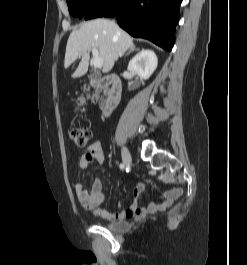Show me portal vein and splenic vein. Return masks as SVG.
<instances>
[{"mask_svg": "<svg viewBox=\"0 0 247 265\" xmlns=\"http://www.w3.org/2000/svg\"><path fill=\"white\" fill-rule=\"evenodd\" d=\"M92 55H93V66L95 68H101L103 66V61L102 59L99 57V52L98 49L96 48H92Z\"/></svg>", "mask_w": 247, "mask_h": 265, "instance_id": "18ae733b", "label": "portal vein and splenic vein"}]
</instances>
